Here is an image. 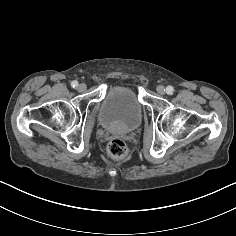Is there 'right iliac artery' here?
<instances>
[{"label":"right iliac artery","instance_id":"obj_1","mask_svg":"<svg viewBox=\"0 0 236 236\" xmlns=\"http://www.w3.org/2000/svg\"><path fill=\"white\" fill-rule=\"evenodd\" d=\"M71 86L73 88H76L78 86V82L77 81H72Z\"/></svg>","mask_w":236,"mask_h":236}]
</instances>
